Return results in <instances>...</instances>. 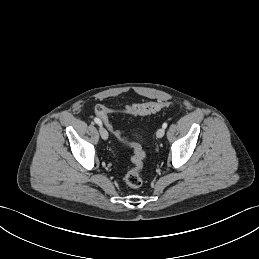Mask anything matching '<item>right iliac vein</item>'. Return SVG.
<instances>
[{
	"label": "right iliac vein",
	"mask_w": 259,
	"mask_h": 259,
	"mask_svg": "<svg viewBox=\"0 0 259 259\" xmlns=\"http://www.w3.org/2000/svg\"><path fill=\"white\" fill-rule=\"evenodd\" d=\"M99 132H100L101 138L103 140H107L108 139V132H107V130L105 128L100 127Z\"/></svg>",
	"instance_id": "63e3f726"
}]
</instances>
